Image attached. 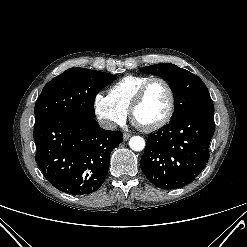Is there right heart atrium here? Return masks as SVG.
Wrapping results in <instances>:
<instances>
[{"label": "right heart atrium", "mask_w": 247, "mask_h": 247, "mask_svg": "<svg viewBox=\"0 0 247 247\" xmlns=\"http://www.w3.org/2000/svg\"><path fill=\"white\" fill-rule=\"evenodd\" d=\"M95 114L101 123L108 127L114 128L125 122L128 110L115 103L109 94L98 92L93 100Z\"/></svg>", "instance_id": "obj_1"}]
</instances>
